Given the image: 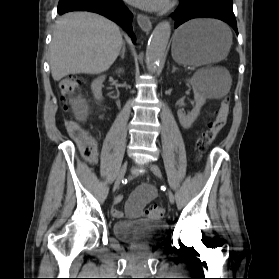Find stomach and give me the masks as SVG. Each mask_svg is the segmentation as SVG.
I'll list each match as a JSON object with an SVG mask.
<instances>
[{"label": "stomach", "instance_id": "1", "mask_svg": "<svg viewBox=\"0 0 279 279\" xmlns=\"http://www.w3.org/2000/svg\"><path fill=\"white\" fill-rule=\"evenodd\" d=\"M222 23L214 20H193L173 35L172 57L182 65H208L224 59L232 44V36Z\"/></svg>", "mask_w": 279, "mask_h": 279}]
</instances>
